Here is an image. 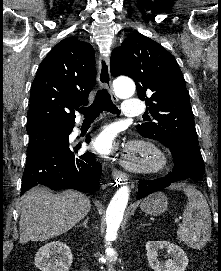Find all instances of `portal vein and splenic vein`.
Here are the masks:
<instances>
[{"instance_id":"obj_1","label":"portal vein and splenic vein","mask_w":221,"mask_h":271,"mask_svg":"<svg viewBox=\"0 0 221 271\" xmlns=\"http://www.w3.org/2000/svg\"><path fill=\"white\" fill-rule=\"evenodd\" d=\"M172 216H173V218H178L179 215H178V213H173ZM175 221H179V219H175Z\"/></svg>"}]
</instances>
